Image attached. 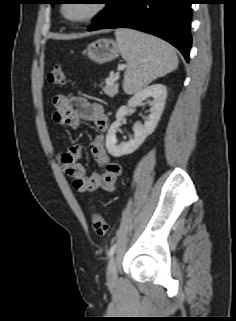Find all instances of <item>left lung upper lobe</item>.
I'll use <instances>...</instances> for the list:
<instances>
[{
	"label": "left lung upper lobe",
	"mask_w": 236,
	"mask_h": 321,
	"mask_svg": "<svg viewBox=\"0 0 236 321\" xmlns=\"http://www.w3.org/2000/svg\"><path fill=\"white\" fill-rule=\"evenodd\" d=\"M103 1V3L104 4H106L107 6H106V8L103 10V11H101L99 14H98V16H100V15H102L107 9H108V7L111 5V3L113 2V0H102ZM50 3L52 4V5H54V4H56L55 3V1H50ZM96 19V18H95ZM94 19V20H95Z\"/></svg>",
	"instance_id": "left-lung-upper-lobe-1"
}]
</instances>
